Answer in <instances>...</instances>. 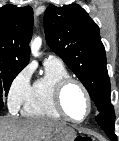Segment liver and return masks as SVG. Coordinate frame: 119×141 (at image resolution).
Here are the masks:
<instances>
[{"mask_svg":"<svg viewBox=\"0 0 119 141\" xmlns=\"http://www.w3.org/2000/svg\"><path fill=\"white\" fill-rule=\"evenodd\" d=\"M62 127V123L44 118L0 117V141H42Z\"/></svg>","mask_w":119,"mask_h":141,"instance_id":"obj_1","label":"liver"}]
</instances>
